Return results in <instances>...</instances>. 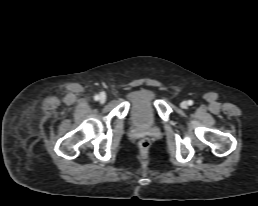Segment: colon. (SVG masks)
<instances>
[{"label": "colon", "mask_w": 258, "mask_h": 206, "mask_svg": "<svg viewBox=\"0 0 258 206\" xmlns=\"http://www.w3.org/2000/svg\"><path fill=\"white\" fill-rule=\"evenodd\" d=\"M151 141L149 138L145 137L139 142V148L141 152L145 153L150 148Z\"/></svg>", "instance_id": "1"}]
</instances>
